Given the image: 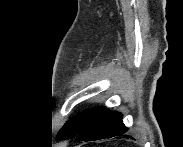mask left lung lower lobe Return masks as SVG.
Masks as SVG:
<instances>
[{
  "label": "left lung lower lobe",
  "instance_id": "0a47b994",
  "mask_svg": "<svg viewBox=\"0 0 183 147\" xmlns=\"http://www.w3.org/2000/svg\"><path fill=\"white\" fill-rule=\"evenodd\" d=\"M128 128L122 121V114L108 111L105 108H96L91 111L76 137L80 141H95L112 137H124Z\"/></svg>",
  "mask_w": 183,
  "mask_h": 147
}]
</instances>
